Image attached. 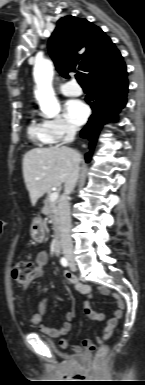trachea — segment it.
<instances>
[{
	"mask_svg": "<svg viewBox=\"0 0 145 385\" xmlns=\"http://www.w3.org/2000/svg\"><path fill=\"white\" fill-rule=\"evenodd\" d=\"M75 77H76V79H77V81H78V83L80 84V85H84L85 84V82H84V80H83V78L81 77V75L80 74H76L75 75Z\"/></svg>",
	"mask_w": 145,
	"mask_h": 385,
	"instance_id": "trachea-1",
	"label": "trachea"
}]
</instances>
